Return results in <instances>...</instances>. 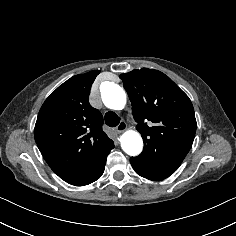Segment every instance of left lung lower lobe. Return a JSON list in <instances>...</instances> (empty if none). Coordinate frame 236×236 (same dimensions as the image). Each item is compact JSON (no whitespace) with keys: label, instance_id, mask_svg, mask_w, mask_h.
Here are the masks:
<instances>
[{"label":"left lung lower lobe","instance_id":"0a47b994","mask_svg":"<svg viewBox=\"0 0 236 236\" xmlns=\"http://www.w3.org/2000/svg\"><path fill=\"white\" fill-rule=\"evenodd\" d=\"M130 163L140 176L156 181L169 177L180 166L178 163L153 161L141 156L131 157Z\"/></svg>","mask_w":236,"mask_h":236}]
</instances>
